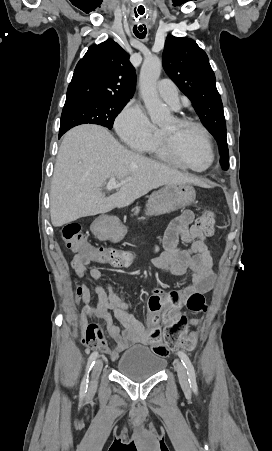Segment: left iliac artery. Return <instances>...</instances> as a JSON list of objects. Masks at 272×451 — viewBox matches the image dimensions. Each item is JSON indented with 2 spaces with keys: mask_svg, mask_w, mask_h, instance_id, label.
Segmentation results:
<instances>
[{
  "mask_svg": "<svg viewBox=\"0 0 272 451\" xmlns=\"http://www.w3.org/2000/svg\"><path fill=\"white\" fill-rule=\"evenodd\" d=\"M178 355L181 359V362L183 363L184 367L187 370L188 381H189L190 387L192 388L193 392L195 394H197L198 389H197L196 375H195V370H194L193 364L191 363L189 357L184 352L179 351Z\"/></svg>",
  "mask_w": 272,
  "mask_h": 451,
  "instance_id": "1",
  "label": "left iliac artery"
}]
</instances>
